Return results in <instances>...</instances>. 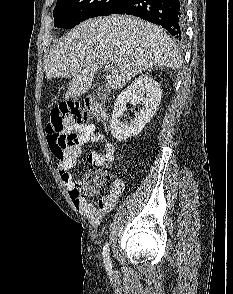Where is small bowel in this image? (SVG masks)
<instances>
[{"label":"small bowel","mask_w":233,"mask_h":294,"mask_svg":"<svg viewBox=\"0 0 233 294\" xmlns=\"http://www.w3.org/2000/svg\"><path fill=\"white\" fill-rule=\"evenodd\" d=\"M71 132L75 139L72 146L69 147L63 160L57 165L58 174L69 195L77 208L90 223L99 225L104 216L114 207L117 200L125 189V183L121 179L112 182L109 192L98 201L87 200L76 193V183L70 172L75 167L81 156L82 147L87 143H100L104 149L102 153L92 152L88 161L94 166H103L112 164L114 161L115 146L102 133L96 130L94 124H82L72 127Z\"/></svg>","instance_id":"1"}]
</instances>
